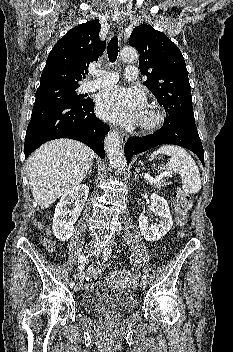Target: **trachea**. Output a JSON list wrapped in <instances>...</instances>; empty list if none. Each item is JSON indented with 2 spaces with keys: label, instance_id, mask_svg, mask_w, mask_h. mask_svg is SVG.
I'll list each match as a JSON object with an SVG mask.
<instances>
[{
  "label": "trachea",
  "instance_id": "3493384b",
  "mask_svg": "<svg viewBox=\"0 0 233 352\" xmlns=\"http://www.w3.org/2000/svg\"><path fill=\"white\" fill-rule=\"evenodd\" d=\"M118 38L114 36L107 47L108 58L111 63H114L118 56Z\"/></svg>",
  "mask_w": 233,
  "mask_h": 352
}]
</instances>
